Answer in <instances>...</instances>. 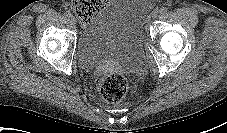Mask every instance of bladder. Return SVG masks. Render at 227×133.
<instances>
[{"label": "bladder", "instance_id": "1", "mask_svg": "<svg viewBox=\"0 0 227 133\" xmlns=\"http://www.w3.org/2000/svg\"><path fill=\"white\" fill-rule=\"evenodd\" d=\"M153 0H110L81 30L76 47L79 66L104 63L139 72L144 67L143 34Z\"/></svg>", "mask_w": 227, "mask_h": 133}]
</instances>
